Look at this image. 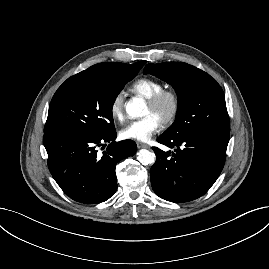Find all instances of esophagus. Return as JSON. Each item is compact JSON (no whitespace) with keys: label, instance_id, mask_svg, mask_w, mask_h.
Here are the masks:
<instances>
[{"label":"esophagus","instance_id":"1","mask_svg":"<svg viewBox=\"0 0 269 269\" xmlns=\"http://www.w3.org/2000/svg\"><path fill=\"white\" fill-rule=\"evenodd\" d=\"M137 147L140 149V148H148L149 146L145 143L138 142Z\"/></svg>","mask_w":269,"mask_h":269}]
</instances>
